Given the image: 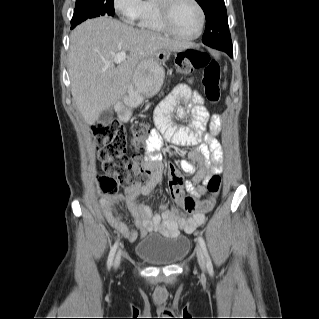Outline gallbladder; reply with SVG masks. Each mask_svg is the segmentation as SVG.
<instances>
[{
  "mask_svg": "<svg viewBox=\"0 0 319 319\" xmlns=\"http://www.w3.org/2000/svg\"><path fill=\"white\" fill-rule=\"evenodd\" d=\"M113 117L112 108L105 109L99 116L98 122L99 123H107L110 122Z\"/></svg>",
  "mask_w": 319,
  "mask_h": 319,
  "instance_id": "gallbladder-1",
  "label": "gallbladder"
}]
</instances>
